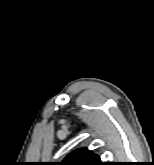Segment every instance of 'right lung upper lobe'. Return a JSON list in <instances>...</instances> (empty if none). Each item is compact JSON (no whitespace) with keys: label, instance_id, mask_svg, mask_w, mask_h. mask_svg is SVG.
<instances>
[{"label":"right lung upper lobe","instance_id":"right-lung-upper-lobe-1","mask_svg":"<svg viewBox=\"0 0 154 165\" xmlns=\"http://www.w3.org/2000/svg\"><path fill=\"white\" fill-rule=\"evenodd\" d=\"M61 163L64 165H102L99 156L86 148L73 151Z\"/></svg>","mask_w":154,"mask_h":165}]
</instances>
